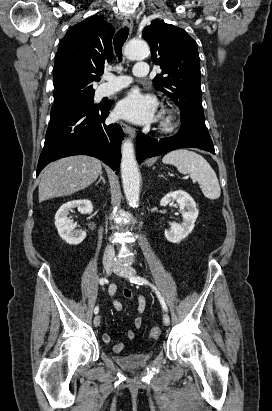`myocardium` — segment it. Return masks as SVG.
<instances>
[{
	"instance_id": "1",
	"label": "myocardium",
	"mask_w": 272,
	"mask_h": 411,
	"mask_svg": "<svg viewBox=\"0 0 272 411\" xmlns=\"http://www.w3.org/2000/svg\"><path fill=\"white\" fill-rule=\"evenodd\" d=\"M177 115L172 110H166L161 118L160 128L163 132H172L177 126Z\"/></svg>"
}]
</instances>
